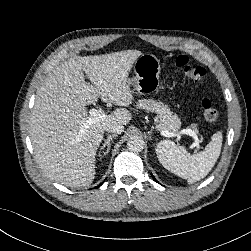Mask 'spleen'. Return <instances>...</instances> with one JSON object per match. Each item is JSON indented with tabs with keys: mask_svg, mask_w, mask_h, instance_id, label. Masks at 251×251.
<instances>
[{
	"mask_svg": "<svg viewBox=\"0 0 251 251\" xmlns=\"http://www.w3.org/2000/svg\"><path fill=\"white\" fill-rule=\"evenodd\" d=\"M221 147L222 133L216 132L202 152L190 155L183 146L171 140H163L158 143L156 153L164 168L191 184L211 171L219 158Z\"/></svg>",
	"mask_w": 251,
	"mask_h": 251,
	"instance_id": "3e777b00",
	"label": "spleen"
}]
</instances>
